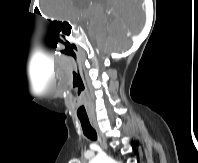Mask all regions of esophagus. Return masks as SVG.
<instances>
[{"label":"esophagus","mask_w":198,"mask_h":163,"mask_svg":"<svg viewBox=\"0 0 198 163\" xmlns=\"http://www.w3.org/2000/svg\"><path fill=\"white\" fill-rule=\"evenodd\" d=\"M91 124L97 132L99 144L102 146L103 149H107V141L103 133L99 130L97 122L95 118H90Z\"/></svg>","instance_id":"obj_1"}]
</instances>
